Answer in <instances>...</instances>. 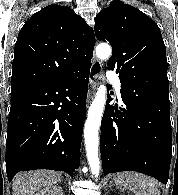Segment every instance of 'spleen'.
Here are the masks:
<instances>
[{"label": "spleen", "mask_w": 178, "mask_h": 195, "mask_svg": "<svg viewBox=\"0 0 178 195\" xmlns=\"http://www.w3.org/2000/svg\"><path fill=\"white\" fill-rule=\"evenodd\" d=\"M118 186L132 190L136 195H160V184L154 178L137 172H121L114 177Z\"/></svg>", "instance_id": "obj_1"}]
</instances>
